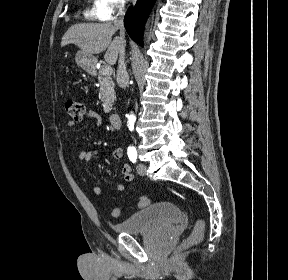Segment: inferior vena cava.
Wrapping results in <instances>:
<instances>
[{"label":"inferior vena cava","instance_id":"602c4592","mask_svg":"<svg viewBox=\"0 0 288 280\" xmlns=\"http://www.w3.org/2000/svg\"><path fill=\"white\" fill-rule=\"evenodd\" d=\"M118 13L114 19V26L120 30V38L124 42V45L120 49L119 61H118V68H117V83L120 87H126L128 84L129 76L126 70L125 65V32H124V4H118Z\"/></svg>","mask_w":288,"mask_h":280}]
</instances>
